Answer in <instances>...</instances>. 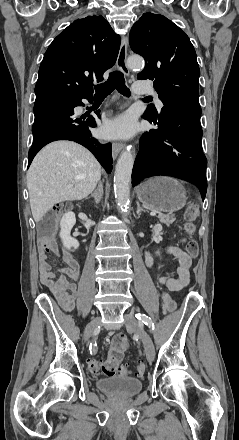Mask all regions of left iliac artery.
Segmentation results:
<instances>
[{"mask_svg":"<svg viewBox=\"0 0 239 440\" xmlns=\"http://www.w3.org/2000/svg\"><path fill=\"white\" fill-rule=\"evenodd\" d=\"M136 318L141 322V323H144V324H146L148 327H149V329H150V331H153L154 330V323H153V321L151 320V318L150 317H148L147 315H145V314H136Z\"/></svg>","mask_w":239,"mask_h":440,"instance_id":"1","label":"left iliac artery"}]
</instances>
